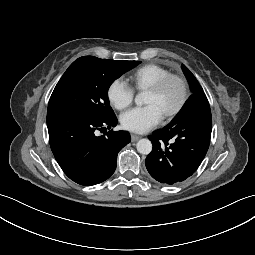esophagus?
<instances>
[{"mask_svg":"<svg viewBox=\"0 0 255 255\" xmlns=\"http://www.w3.org/2000/svg\"><path fill=\"white\" fill-rule=\"evenodd\" d=\"M139 138H140V137H139L138 135H134V134L131 135V140H132V142L137 141Z\"/></svg>","mask_w":255,"mask_h":255,"instance_id":"esophagus-1","label":"esophagus"}]
</instances>
